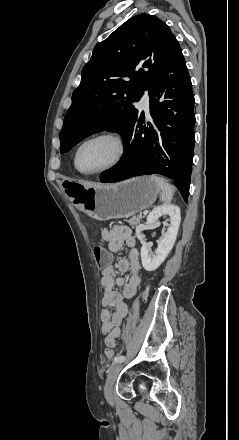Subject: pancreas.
I'll return each mask as SVG.
<instances>
[{
    "label": "pancreas",
    "mask_w": 239,
    "mask_h": 440,
    "mask_svg": "<svg viewBox=\"0 0 239 440\" xmlns=\"http://www.w3.org/2000/svg\"><path fill=\"white\" fill-rule=\"evenodd\" d=\"M141 218H145V216H132L130 220H124V222H128L129 226L134 228V226H138V224H140Z\"/></svg>",
    "instance_id": "1"
}]
</instances>
